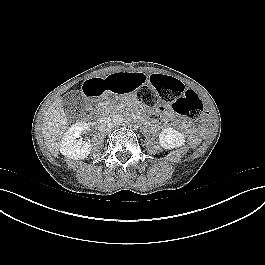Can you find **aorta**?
Masks as SVG:
<instances>
[{"label":"aorta","mask_w":265,"mask_h":265,"mask_svg":"<svg viewBox=\"0 0 265 265\" xmlns=\"http://www.w3.org/2000/svg\"><path fill=\"white\" fill-rule=\"evenodd\" d=\"M112 121L114 125H122L125 121L124 116L122 114H114L112 117Z\"/></svg>","instance_id":"762f6f07"}]
</instances>
